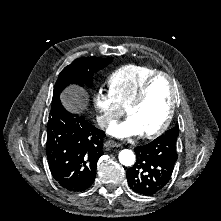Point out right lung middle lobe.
<instances>
[{"label":"right lung middle lobe","mask_w":221,"mask_h":221,"mask_svg":"<svg viewBox=\"0 0 221 221\" xmlns=\"http://www.w3.org/2000/svg\"><path fill=\"white\" fill-rule=\"evenodd\" d=\"M113 58L81 57L66 66L58 76L53 93V103L59 100V94L69 84L91 87L94 73L111 63ZM52 103V104H53Z\"/></svg>","instance_id":"obj_1"}]
</instances>
